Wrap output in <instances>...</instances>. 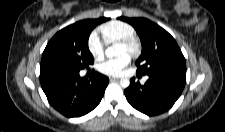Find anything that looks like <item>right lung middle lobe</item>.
<instances>
[{"label":"right lung middle lobe","mask_w":225,"mask_h":132,"mask_svg":"<svg viewBox=\"0 0 225 132\" xmlns=\"http://www.w3.org/2000/svg\"><path fill=\"white\" fill-rule=\"evenodd\" d=\"M108 18L83 20L57 32L48 42L41 59L40 70L79 72L94 63L88 49V38L93 28Z\"/></svg>","instance_id":"dd1d6c3e"}]
</instances>
